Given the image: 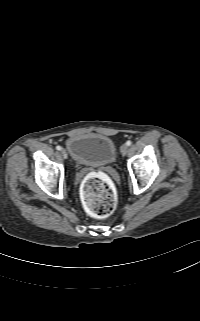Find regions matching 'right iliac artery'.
<instances>
[{"label":"right iliac artery","instance_id":"obj_1","mask_svg":"<svg viewBox=\"0 0 200 321\" xmlns=\"http://www.w3.org/2000/svg\"><path fill=\"white\" fill-rule=\"evenodd\" d=\"M56 149H57V150H61L62 147L58 145V146H56Z\"/></svg>","mask_w":200,"mask_h":321}]
</instances>
